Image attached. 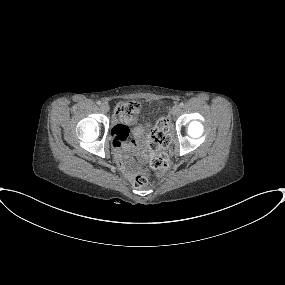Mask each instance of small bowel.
<instances>
[{
    "label": "small bowel",
    "instance_id": "c3829d8e",
    "mask_svg": "<svg viewBox=\"0 0 285 285\" xmlns=\"http://www.w3.org/2000/svg\"><path fill=\"white\" fill-rule=\"evenodd\" d=\"M129 121H137L136 119L128 120L124 117L113 127L111 136L113 138V154L119 162L121 171L126 179L132 180L136 174L135 170L131 167L129 161L126 159L125 153L129 152L131 148L139 149L145 135L146 127H140L139 133L134 136L130 142L122 141L123 138L128 136V123Z\"/></svg>",
    "mask_w": 285,
    "mask_h": 285
}]
</instances>
